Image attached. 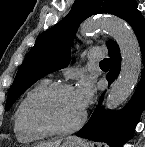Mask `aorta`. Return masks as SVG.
Instances as JSON below:
<instances>
[{
  "label": "aorta",
  "mask_w": 145,
  "mask_h": 147,
  "mask_svg": "<svg viewBox=\"0 0 145 147\" xmlns=\"http://www.w3.org/2000/svg\"><path fill=\"white\" fill-rule=\"evenodd\" d=\"M103 30L117 42L121 53V70L107 96L106 109L114 110L133 92L141 72V52L137 37L132 28L116 16H104L86 21L81 26V33L89 35Z\"/></svg>",
  "instance_id": "obj_1"
}]
</instances>
